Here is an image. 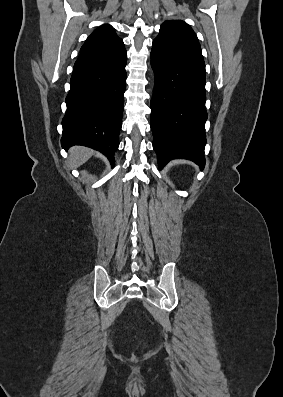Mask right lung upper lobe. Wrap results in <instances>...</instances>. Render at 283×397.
<instances>
[{
    "label": "right lung upper lobe",
    "instance_id": "cb5924a9",
    "mask_svg": "<svg viewBox=\"0 0 283 397\" xmlns=\"http://www.w3.org/2000/svg\"><path fill=\"white\" fill-rule=\"evenodd\" d=\"M127 57L122 39L108 25L97 28L85 41L74 64V71L109 65Z\"/></svg>",
    "mask_w": 283,
    "mask_h": 397
}]
</instances>
